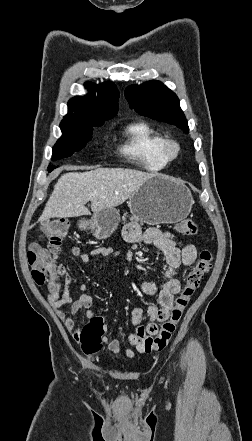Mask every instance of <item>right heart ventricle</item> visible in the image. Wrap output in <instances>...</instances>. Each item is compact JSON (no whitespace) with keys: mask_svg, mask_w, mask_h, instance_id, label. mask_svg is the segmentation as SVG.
<instances>
[{"mask_svg":"<svg viewBox=\"0 0 252 441\" xmlns=\"http://www.w3.org/2000/svg\"><path fill=\"white\" fill-rule=\"evenodd\" d=\"M125 140L120 152L146 171L164 169L168 162L160 153L163 136L145 121H133L124 129Z\"/></svg>","mask_w":252,"mask_h":441,"instance_id":"1","label":"right heart ventricle"}]
</instances>
